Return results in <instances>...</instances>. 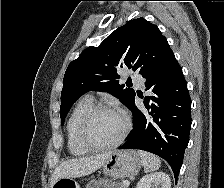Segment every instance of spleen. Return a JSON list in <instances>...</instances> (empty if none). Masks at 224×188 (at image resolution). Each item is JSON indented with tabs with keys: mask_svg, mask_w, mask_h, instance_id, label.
I'll return each instance as SVG.
<instances>
[{
	"mask_svg": "<svg viewBox=\"0 0 224 188\" xmlns=\"http://www.w3.org/2000/svg\"><path fill=\"white\" fill-rule=\"evenodd\" d=\"M138 154L142 160L144 171L146 173L153 172L160 168L161 161L159 157L145 151H138Z\"/></svg>",
	"mask_w": 224,
	"mask_h": 188,
	"instance_id": "obj_1",
	"label": "spleen"
}]
</instances>
